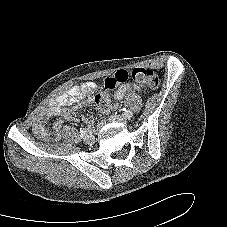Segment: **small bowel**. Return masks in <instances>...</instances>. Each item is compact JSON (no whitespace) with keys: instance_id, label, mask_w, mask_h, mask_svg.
<instances>
[{"instance_id":"1","label":"small bowel","mask_w":227,"mask_h":227,"mask_svg":"<svg viewBox=\"0 0 227 227\" xmlns=\"http://www.w3.org/2000/svg\"><path fill=\"white\" fill-rule=\"evenodd\" d=\"M96 90V84L93 82H84L81 85L74 86L68 91L58 95L56 98L50 100L47 106L41 109L33 120V131L40 138H48L52 134L46 129L45 121L49 117H63L68 120H74L68 107L75 108L80 105L84 97L92 95ZM139 91L141 86L137 83H128L121 85L115 96L121 99L129 91ZM115 108V105L109 106V109ZM62 120H56L53 123V135H57L62 127Z\"/></svg>"}]
</instances>
